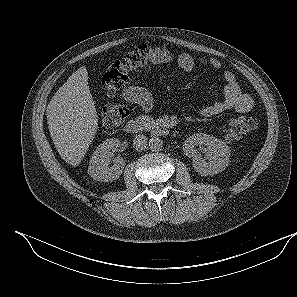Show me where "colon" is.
Returning <instances> with one entry per match:
<instances>
[{
    "instance_id": "5ec220e1",
    "label": "colon",
    "mask_w": 297,
    "mask_h": 297,
    "mask_svg": "<svg viewBox=\"0 0 297 297\" xmlns=\"http://www.w3.org/2000/svg\"><path fill=\"white\" fill-rule=\"evenodd\" d=\"M149 53L147 49L128 52L122 58L108 66L102 77L103 88L107 92L120 91L128 82L133 71L146 69ZM127 108L123 104L107 105L101 113V125L105 132L116 130L126 119ZM257 120L252 116H242L228 122L224 129L225 139L230 142L240 141L256 127Z\"/></svg>"
}]
</instances>
